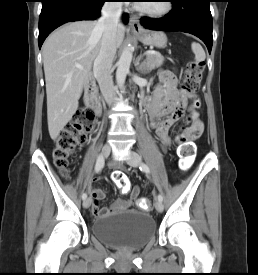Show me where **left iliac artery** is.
I'll return each instance as SVG.
<instances>
[{"mask_svg": "<svg viewBox=\"0 0 258 275\" xmlns=\"http://www.w3.org/2000/svg\"><path fill=\"white\" fill-rule=\"evenodd\" d=\"M140 170L147 173V174L150 173L149 167L144 163L141 164ZM158 200L161 201V202L163 201V196L161 194L158 195Z\"/></svg>", "mask_w": 258, "mask_h": 275, "instance_id": "obj_1", "label": "left iliac artery"}]
</instances>
